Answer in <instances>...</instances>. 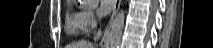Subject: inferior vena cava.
Masks as SVG:
<instances>
[{
  "label": "inferior vena cava",
  "mask_w": 213,
  "mask_h": 48,
  "mask_svg": "<svg viewBox=\"0 0 213 48\" xmlns=\"http://www.w3.org/2000/svg\"><path fill=\"white\" fill-rule=\"evenodd\" d=\"M101 30H98V32L96 33V35L94 36V41L96 42V41H98L99 39H100V37H101Z\"/></svg>",
  "instance_id": "obj_1"
}]
</instances>
